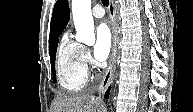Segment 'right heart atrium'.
<instances>
[{"label": "right heart atrium", "mask_w": 193, "mask_h": 112, "mask_svg": "<svg viewBox=\"0 0 193 112\" xmlns=\"http://www.w3.org/2000/svg\"><path fill=\"white\" fill-rule=\"evenodd\" d=\"M83 59L86 65H91L92 61L90 55L86 49H83Z\"/></svg>", "instance_id": "obj_1"}]
</instances>
